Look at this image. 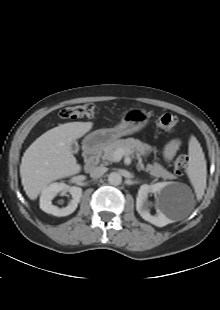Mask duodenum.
Listing matches in <instances>:
<instances>
[{
    "instance_id": "obj_1",
    "label": "duodenum",
    "mask_w": 220,
    "mask_h": 310,
    "mask_svg": "<svg viewBox=\"0 0 220 310\" xmlns=\"http://www.w3.org/2000/svg\"><path fill=\"white\" fill-rule=\"evenodd\" d=\"M100 147L95 144H88L85 152L84 169L86 172H92L99 163L100 160Z\"/></svg>"
}]
</instances>
